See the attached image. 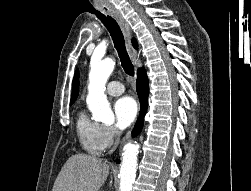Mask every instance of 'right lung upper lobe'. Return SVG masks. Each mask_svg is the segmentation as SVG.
I'll return each instance as SVG.
<instances>
[{"label": "right lung upper lobe", "instance_id": "cb5924a9", "mask_svg": "<svg viewBox=\"0 0 251 191\" xmlns=\"http://www.w3.org/2000/svg\"><path fill=\"white\" fill-rule=\"evenodd\" d=\"M132 43H133V46L137 48V42L135 39L132 40ZM145 73L146 72L144 68H139L137 71V76H140ZM78 93H79V72L78 70H76L74 78H73V83H72L71 104H73L76 101L78 97Z\"/></svg>", "mask_w": 251, "mask_h": 191}]
</instances>
